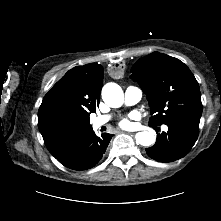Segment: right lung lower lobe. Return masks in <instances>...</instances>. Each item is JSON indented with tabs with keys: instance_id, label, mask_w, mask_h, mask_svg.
Wrapping results in <instances>:
<instances>
[{
	"instance_id": "1",
	"label": "right lung lower lobe",
	"mask_w": 221,
	"mask_h": 221,
	"mask_svg": "<svg viewBox=\"0 0 221 221\" xmlns=\"http://www.w3.org/2000/svg\"><path fill=\"white\" fill-rule=\"evenodd\" d=\"M111 138L112 135L108 133L97 137L91 128L71 145L53 156L70 169L87 170L102 159Z\"/></svg>"
}]
</instances>
